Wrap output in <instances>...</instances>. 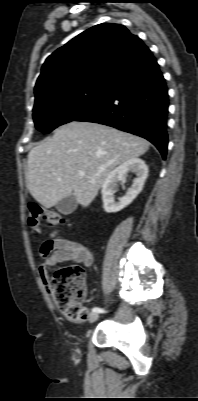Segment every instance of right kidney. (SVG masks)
I'll use <instances>...</instances> for the list:
<instances>
[{"label": "right kidney", "instance_id": "ca27d5eb", "mask_svg": "<svg viewBox=\"0 0 198 401\" xmlns=\"http://www.w3.org/2000/svg\"><path fill=\"white\" fill-rule=\"evenodd\" d=\"M136 174L132 187L129 188L124 197L115 202L114 192L119 181H125L128 172ZM148 176V166L142 159L133 158L115 168L102 184V200L104 210L107 213H114L128 206L142 191L145 180Z\"/></svg>", "mask_w": 198, "mask_h": 401}]
</instances>
